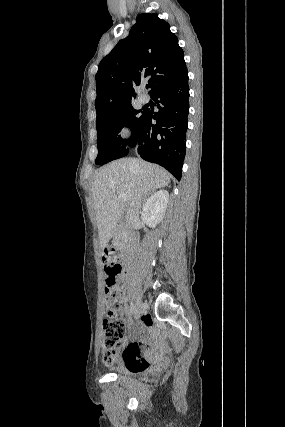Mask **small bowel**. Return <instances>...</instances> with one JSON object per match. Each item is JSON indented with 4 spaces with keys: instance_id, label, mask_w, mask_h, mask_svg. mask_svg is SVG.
Masks as SVG:
<instances>
[{
    "instance_id": "obj_1",
    "label": "small bowel",
    "mask_w": 285,
    "mask_h": 427,
    "mask_svg": "<svg viewBox=\"0 0 285 427\" xmlns=\"http://www.w3.org/2000/svg\"><path fill=\"white\" fill-rule=\"evenodd\" d=\"M142 326L152 328L153 322L149 318H145L141 321ZM165 346L162 341L151 347L146 341L132 340L128 351L123 352L121 363L131 369H155L159 364L165 363L163 352ZM141 363L142 367H137V364Z\"/></svg>"
}]
</instances>
